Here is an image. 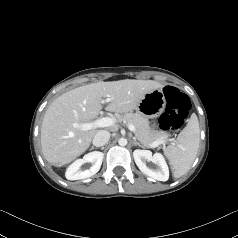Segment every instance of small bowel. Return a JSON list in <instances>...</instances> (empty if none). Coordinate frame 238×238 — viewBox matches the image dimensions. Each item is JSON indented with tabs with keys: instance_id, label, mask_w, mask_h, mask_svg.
I'll return each mask as SVG.
<instances>
[{
	"instance_id": "1",
	"label": "small bowel",
	"mask_w": 238,
	"mask_h": 238,
	"mask_svg": "<svg viewBox=\"0 0 238 238\" xmlns=\"http://www.w3.org/2000/svg\"><path fill=\"white\" fill-rule=\"evenodd\" d=\"M148 124H149L150 127L155 128V127L158 126L159 121H158L157 118L152 117V118L149 119Z\"/></svg>"
}]
</instances>
